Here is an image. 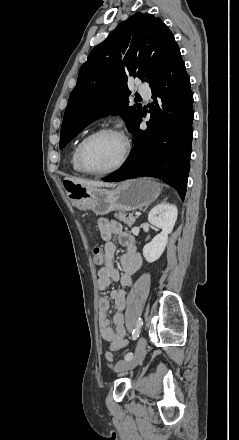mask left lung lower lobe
Here are the masks:
<instances>
[{
  "label": "left lung lower lobe",
  "instance_id": "1",
  "mask_svg": "<svg viewBox=\"0 0 239 440\" xmlns=\"http://www.w3.org/2000/svg\"><path fill=\"white\" fill-rule=\"evenodd\" d=\"M152 90L151 119L147 129L139 130L144 114L130 130L134 138L128 162L116 174L103 178L107 182L127 178L154 176L177 185L185 197L190 169L193 93L178 45H174L160 74L149 83ZM160 98L158 104L157 98Z\"/></svg>",
  "mask_w": 239,
  "mask_h": 440
}]
</instances>
